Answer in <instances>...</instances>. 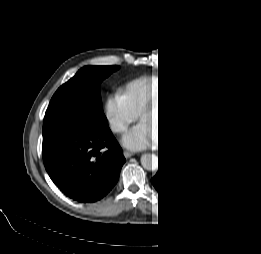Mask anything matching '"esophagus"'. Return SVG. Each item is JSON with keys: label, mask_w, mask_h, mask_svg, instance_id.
<instances>
[{"label": "esophagus", "mask_w": 261, "mask_h": 254, "mask_svg": "<svg viewBox=\"0 0 261 254\" xmlns=\"http://www.w3.org/2000/svg\"><path fill=\"white\" fill-rule=\"evenodd\" d=\"M123 155H124L125 158H129L132 155V153H130L128 151H124Z\"/></svg>", "instance_id": "1"}]
</instances>
